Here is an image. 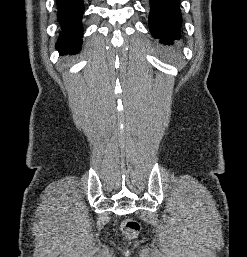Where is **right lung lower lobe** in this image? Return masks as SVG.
<instances>
[{"mask_svg": "<svg viewBox=\"0 0 247 257\" xmlns=\"http://www.w3.org/2000/svg\"><path fill=\"white\" fill-rule=\"evenodd\" d=\"M56 2L57 18L62 28L57 49L61 54L76 53L80 50L82 40L83 0H56Z\"/></svg>", "mask_w": 247, "mask_h": 257, "instance_id": "obj_1", "label": "right lung lower lobe"}]
</instances>
